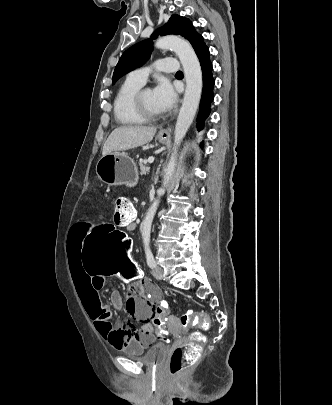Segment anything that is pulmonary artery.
Segmentation results:
<instances>
[{
	"label": "pulmonary artery",
	"instance_id": "1",
	"mask_svg": "<svg viewBox=\"0 0 332 405\" xmlns=\"http://www.w3.org/2000/svg\"><path fill=\"white\" fill-rule=\"evenodd\" d=\"M155 66L158 71L165 73H175L178 70V63L173 58H162L156 61ZM149 75L148 68H140L132 71L129 74V78L135 80L141 84L147 81Z\"/></svg>",
	"mask_w": 332,
	"mask_h": 405
}]
</instances>
